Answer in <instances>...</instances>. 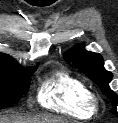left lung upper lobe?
<instances>
[{
    "label": "left lung upper lobe",
    "instance_id": "obj_1",
    "mask_svg": "<svg viewBox=\"0 0 118 123\" xmlns=\"http://www.w3.org/2000/svg\"><path fill=\"white\" fill-rule=\"evenodd\" d=\"M64 58L67 61H71L74 68L82 71L87 77L100 86L103 93L110 99L114 111L116 112L118 96L108 85L113 74L104 69L102 56L97 53L87 52L79 45L65 53Z\"/></svg>",
    "mask_w": 118,
    "mask_h": 123
}]
</instances>
